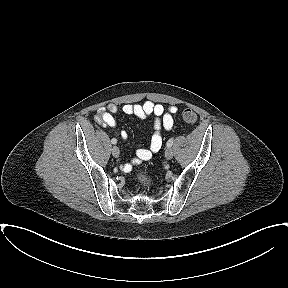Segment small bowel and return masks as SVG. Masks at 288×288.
I'll list each match as a JSON object with an SVG mask.
<instances>
[{
	"label": "small bowel",
	"mask_w": 288,
	"mask_h": 288,
	"mask_svg": "<svg viewBox=\"0 0 288 288\" xmlns=\"http://www.w3.org/2000/svg\"><path fill=\"white\" fill-rule=\"evenodd\" d=\"M121 111L126 115H133L140 119H144L150 115L154 116L153 134L150 143L147 147H139L136 150V157L133 159V163L138 164L141 161L149 160L163 145L162 130L169 131L173 128V115L177 112V107L171 105L166 110L161 104L146 101L142 104H125L122 106ZM118 112L119 107L117 105L109 104L98 110L95 120L104 127L115 129V115ZM120 136L122 139H126L127 133L121 131ZM123 168H127V165Z\"/></svg>",
	"instance_id": "small-bowel-1"
}]
</instances>
